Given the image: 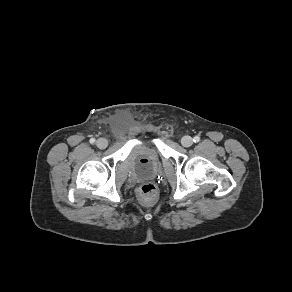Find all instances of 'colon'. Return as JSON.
<instances>
[{
    "instance_id": "obj_1",
    "label": "colon",
    "mask_w": 292,
    "mask_h": 292,
    "mask_svg": "<svg viewBox=\"0 0 292 292\" xmlns=\"http://www.w3.org/2000/svg\"><path fill=\"white\" fill-rule=\"evenodd\" d=\"M138 198L144 205H152L158 198V188L152 182L144 183L138 190Z\"/></svg>"
}]
</instances>
